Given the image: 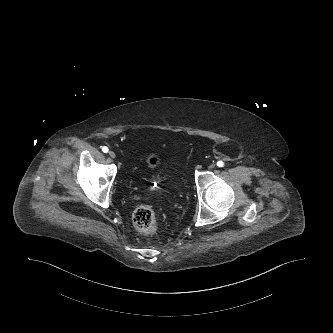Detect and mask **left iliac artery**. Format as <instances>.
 Returning <instances> with one entry per match:
<instances>
[{"label": "left iliac artery", "mask_w": 333, "mask_h": 333, "mask_svg": "<svg viewBox=\"0 0 333 333\" xmlns=\"http://www.w3.org/2000/svg\"><path fill=\"white\" fill-rule=\"evenodd\" d=\"M217 166L218 167H223L224 166V162L223 161H218L217 162Z\"/></svg>", "instance_id": "left-iliac-artery-1"}]
</instances>
